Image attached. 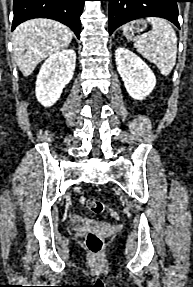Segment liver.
<instances>
[{
  "instance_id": "liver-1",
  "label": "liver",
  "mask_w": 193,
  "mask_h": 287,
  "mask_svg": "<svg viewBox=\"0 0 193 287\" xmlns=\"http://www.w3.org/2000/svg\"><path fill=\"white\" fill-rule=\"evenodd\" d=\"M72 31L62 23L50 19H31L13 32L12 43L16 63L24 76L48 56L69 46Z\"/></svg>"
}]
</instances>
